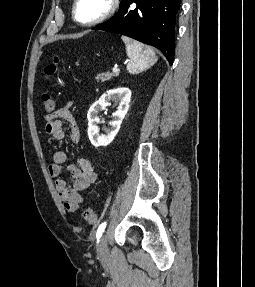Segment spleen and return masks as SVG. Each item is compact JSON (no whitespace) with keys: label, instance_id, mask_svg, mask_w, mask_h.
Listing matches in <instances>:
<instances>
[{"label":"spleen","instance_id":"obj_1","mask_svg":"<svg viewBox=\"0 0 255 287\" xmlns=\"http://www.w3.org/2000/svg\"><path fill=\"white\" fill-rule=\"evenodd\" d=\"M121 40H123L126 46V54L130 58V62L127 64V70L130 74L149 68L151 64L156 62L157 58L150 46L135 42V40H131L127 36H121Z\"/></svg>","mask_w":255,"mask_h":287}]
</instances>
